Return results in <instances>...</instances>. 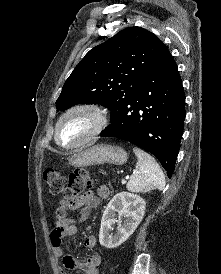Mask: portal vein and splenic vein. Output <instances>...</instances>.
I'll return each instance as SVG.
<instances>
[{
  "label": "portal vein and splenic vein",
  "instance_id": "1",
  "mask_svg": "<svg viewBox=\"0 0 221 274\" xmlns=\"http://www.w3.org/2000/svg\"><path fill=\"white\" fill-rule=\"evenodd\" d=\"M128 178V177H126ZM126 183V180L125 179H122V184H125Z\"/></svg>",
  "mask_w": 221,
  "mask_h": 274
}]
</instances>
